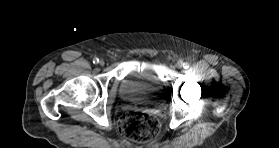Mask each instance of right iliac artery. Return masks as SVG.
<instances>
[{"label":"right iliac artery","mask_w":279,"mask_h":148,"mask_svg":"<svg viewBox=\"0 0 279 148\" xmlns=\"http://www.w3.org/2000/svg\"><path fill=\"white\" fill-rule=\"evenodd\" d=\"M93 63H94V64H98V63H99V59H98V58H94V59H93Z\"/></svg>","instance_id":"82829eb1"}]
</instances>
